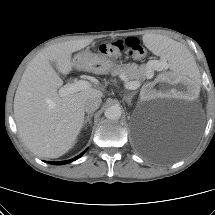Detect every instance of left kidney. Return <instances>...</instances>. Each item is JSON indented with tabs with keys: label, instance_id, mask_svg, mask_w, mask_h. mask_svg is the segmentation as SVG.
<instances>
[{
	"label": "left kidney",
	"instance_id": "left-kidney-1",
	"mask_svg": "<svg viewBox=\"0 0 215 215\" xmlns=\"http://www.w3.org/2000/svg\"><path fill=\"white\" fill-rule=\"evenodd\" d=\"M147 98L166 97L177 101H195L199 92L192 82L179 79L172 73L164 72L157 82H151L143 89Z\"/></svg>",
	"mask_w": 215,
	"mask_h": 215
}]
</instances>
